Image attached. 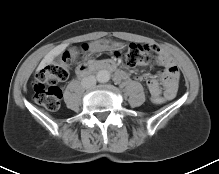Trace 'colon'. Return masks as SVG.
<instances>
[{"mask_svg": "<svg viewBox=\"0 0 219 174\" xmlns=\"http://www.w3.org/2000/svg\"><path fill=\"white\" fill-rule=\"evenodd\" d=\"M82 51L85 56L91 55L87 45L83 47ZM114 57L122 58L131 67L148 65L153 60L145 46L134 43L126 47L124 52L114 51ZM71 63V56L65 53L60 59L50 63L37 73L32 82L33 99L37 104L51 111L60 107L62 92L58 83L67 79ZM151 100L156 105H162L166 101L161 95H151Z\"/></svg>", "mask_w": 219, "mask_h": 174, "instance_id": "1", "label": "colon"}]
</instances>
